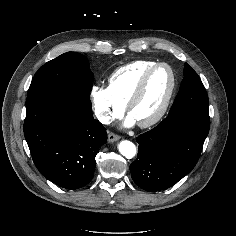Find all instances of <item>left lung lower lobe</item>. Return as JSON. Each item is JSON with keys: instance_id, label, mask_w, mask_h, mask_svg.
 <instances>
[{"instance_id": "left-lung-lower-lobe-1", "label": "left lung lower lobe", "mask_w": 236, "mask_h": 236, "mask_svg": "<svg viewBox=\"0 0 236 236\" xmlns=\"http://www.w3.org/2000/svg\"><path fill=\"white\" fill-rule=\"evenodd\" d=\"M210 128L209 112L182 110L137 138L132 179L148 192L165 190L196 165Z\"/></svg>"}]
</instances>
